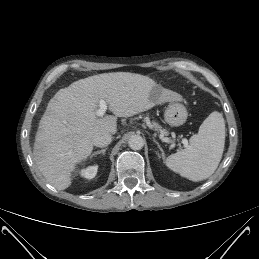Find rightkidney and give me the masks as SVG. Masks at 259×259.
Segmentation results:
<instances>
[{"instance_id":"ca27d5eb","label":"right kidney","mask_w":259,"mask_h":259,"mask_svg":"<svg viewBox=\"0 0 259 259\" xmlns=\"http://www.w3.org/2000/svg\"><path fill=\"white\" fill-rule=\"evenodd\" d=\"M98 166H88L87 168L81 169L80 175L88 180L93 179L97 174Z\"/></svg>"}]
</instances>
